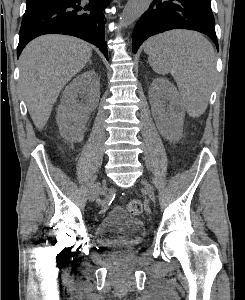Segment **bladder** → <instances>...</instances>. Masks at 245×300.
<instances>
[{
	"label": "bladder",
	"mask_w": 245,
	"mask_h": 300,
	"mask_svg": "<svg viewBox=\"0 0 245 300\" xmlns=\"http://www.w3.org/2000/svg\"><path fill=\"white\" fill-rule=\"evenodd\" d=\"M96 237L100 244L109 248L127 249L139 245L145 236L144 222L114 208L96 226Z\"/></svg>",
	"instance_id": "31cf9c89"
}]
</instances>
